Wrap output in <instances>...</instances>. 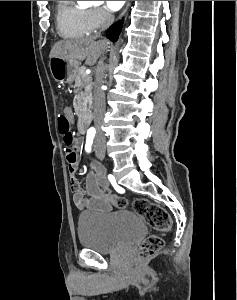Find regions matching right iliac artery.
<instances>
[{"label": "right iliac artery", "mask_w": 237, "mask_h": 300, "mask_svg": "<svg viewBox=\"0 0 237 300\" xmlns=\"http://www.w3.org/2000/svg\"><path fill=\"white\" fill-rule=\"evenodd\" d=\"M95 136V133L93 131H88L87 136H86V145H85V150L86 152H91V146L93 143V138Z\"/></svg>", "instance_id": "1"}]
</instances>
